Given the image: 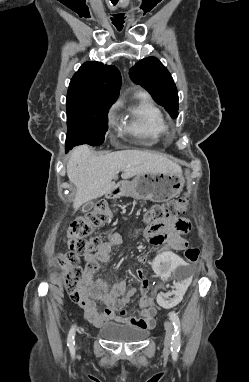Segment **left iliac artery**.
Here are the masks:
<instances>
[{
    "mask_svg": "<svg viewBox=\"0 0 249 382\" xmlns=\"http://www.w3.org/2000/svg\"><path fill=\"white\" fill-rule=\"evenodd\" d=\"M170 320L174 326V333L172 335V350L179 351L181 346V326L178 315L175 312L169 313Z\"/></svg>",
    "mask_w": 249,
    "mask_h": 382,
    "instance_id": "left-iliac-artery-1",
    "label": "left iliac artery"
}]
</instances>
